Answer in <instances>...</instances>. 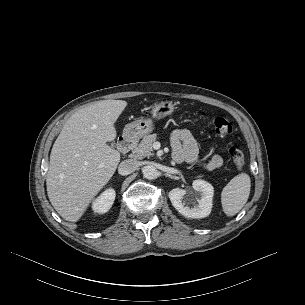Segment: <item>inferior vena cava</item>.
<instances>
[{
    "instance_id": "1",
    "label": "inferior vena cava",
    "mask_w": 305,
    "mask_h": 305,
    "mask_svg": "<svg viewBox=\"0 0 305 305\" xmlns=\"http://www.w3.org/2000/svg\"><path fill=\"white\" fill-rule=\"evenodd\" d=\"M138 167V162L133 159H126L122 161L118 168V173L120 175H128L134 172Z\"/></svg>"
}]
</instances>
